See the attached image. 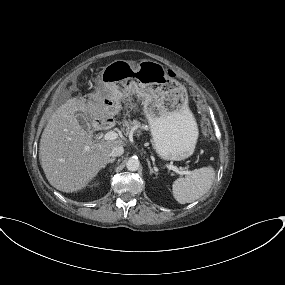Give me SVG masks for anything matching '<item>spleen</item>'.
I'll return each mask as SVG.
<instances>
[{
    "instance_id": "spleen-1",
    "label": "spleen",
    "mask_w": 285,
    "mask_h": 285,
    "mask_svg": "<svg viewBox=\"0 0 285 285\" xmlns=\"http://www.w3.org/2000/svg\"><path fill=\"white\" fill-rule=\"evenodd\" d=\"M214 178L215 170L211 166L195 169L173 182V196L180 204L192 203L210 190Z\"/></svg>"
}]
</instances>
